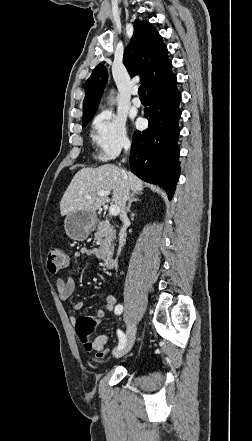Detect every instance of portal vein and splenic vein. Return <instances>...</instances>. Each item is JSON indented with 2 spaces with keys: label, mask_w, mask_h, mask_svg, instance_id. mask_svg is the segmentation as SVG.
Segmentation results:
<instances>
[{
  "label": "portal vein and splenic vein",
  "mask_w": 252,
  "mask_h": 441,
  "mask_svg": "<svg viewBox=\"0 0 252 441\" xmlns=\"http://www.w3.org/2000/svg\"><path fill=\"white\" fill-rule=\"evenodd\" d=\"M109 194H110V191H108V190H102V191H99V192L97 193V195H99V196H108ZM87 198H91V196L88 195ZM119 213H120V208H119V206H117V205H111V206H110V208H109V214H110L111 216H117Z\"/></svg>",
  "instance_id": "portal-vein-and-splenic-vein-1"
}]
</instances>
